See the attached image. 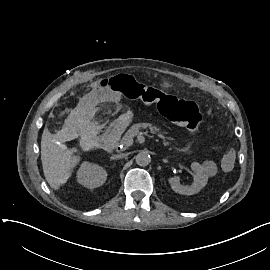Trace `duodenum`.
Instances as JSON below:
<instances>
[{"mask_svg":"<svg viewBox=\"0 0 270 270\" xmlns=\"http://www.w3.org/2000/svg\"><path fill=\"white\" fill-rule=\"evenodd\" d=\"M124 127L122 121H116L107 128L103 139V149L105 151L110 152L117 146Z\"/></svg>","mask_w":270,"mask_h":270,"instance_id":"duodenum-1","label":"duodenum"}]
</instances>
